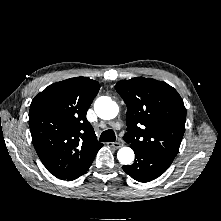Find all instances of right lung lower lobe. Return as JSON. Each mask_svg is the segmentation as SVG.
<instances>
[{
    "label": "right lung lower lobe",
    "mask_w": 221,
    "mask_h": 221,
    "mask_svg": "<svg viewBox=\"0 0 221 221\" xmlns=\"http://www.w3.org/2000/svg\"><path fill=\"white\" fill-rule=\"evenodd\" d=\"M93 160L94 159H92L90 162H88L87 165L81 171H79L78 173L74 174L71 177L66 178L65 180H67V181L75 180L78 177H80L81 175H83L89 169V167L92 164Z\"/></svg>",
    "instance_id": "98d812e1"
}]
</instances>
